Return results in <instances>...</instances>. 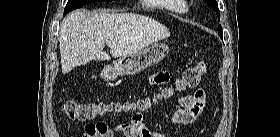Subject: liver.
I'll list each match as a JSON object with an SVG mask.
<instances>
[{
    "mask_svg": "<svg viewBox=\"0 0 280 137\" xmlns=\"http://www.w3.org/2000/svg\"><path fill=\"white\" fill-rule=\"evenodd\" d=\"M169 36L165 25L143 15L74 11L63 20L58 38L62 73L92 60H109L105 45L117 58L135 54Z\"/></svg>",
    "mask_w": 280,
    "mask_h": 137,
    "instance_id": "1",
    "label": "liver"
}]
</instances>
